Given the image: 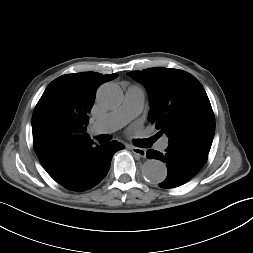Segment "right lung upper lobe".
I'll return each mask as SVG.
<instances>
[{"label": "right lung upper lobe", "instance_id": "right-lung-upper-lobe-1", "mask_svg": "<svg viewBox=\"0 0 253 253\" xmlns=\"http://www.w3.org/2000/svg\"><path fill=\"white\" fill-rule=\"evenodd\" d=\"M116 77V73L66 74L53 80L37 103L32 116L35 152L60 185L78 179L81 165L96 148L85 132L89 113L98 86Z\"/></svg>", "mask_w": 253, "mask_h": 253}]
</instances>
